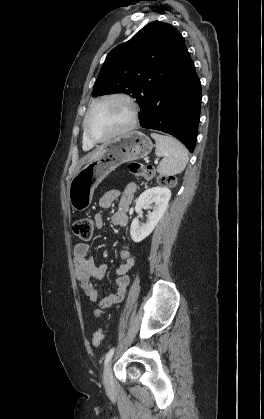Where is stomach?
Instances as JSON below:
<instances>
[{
    "label": "stomach",
    "instance_id": "stomach-1",
    "mask_svg": "<svg viewBox=\"0 0 264 419\" xmlns=\"http://www.w3.org/2000/svg\"><path fill=\"white\" fill-rule=\"evenodd\" d=\"M150 138L133 131L104 144L98 156L90 160L70 181L68 198L75 211H83L92 202L95 188L120 164L146 157L152 150Z\"/></svg>",
    "mask_w": 264,
    "mask_h": 419
}]
</instances>
